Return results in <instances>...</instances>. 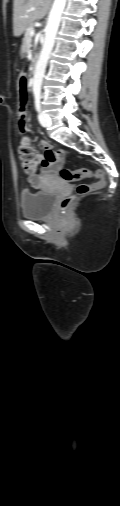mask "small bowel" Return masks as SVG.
Masks as SVG:
<instances>
[{
	"instance_id": "small-bowel-1",
	"label": "small bowel",
	"mask_w": 120,
	"mask_h": 506,
	"mask_svg": "<svg viewBox=\"0 0 120 506\" xmlns=\"http://www.w3.org/2000/svg\"><path fill=\"white\" fill-rule=\"evenodd\" d=\"M41 146L46 149L45 153L39 155V165L41 171L39 174L31 175L28 178L29 183L35 187H42L47 181L57 178L58 167L65 158V151L61 149H54L48 143H41ZM51 156L53 159H49Z\"/></svg>"
}]
</instances>
